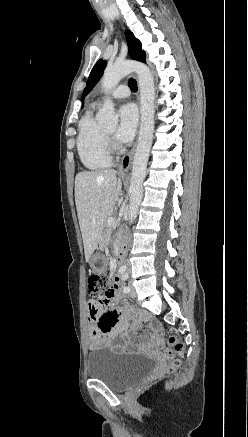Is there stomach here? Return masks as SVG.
Masks as SVG:
<instances>
[{
    "label": "stomach",
    "instance_id": "1",
    "mask_svg": "<svg viewBox=\"0 0 248 437\" xmlns=\"http://www.w3.org/2000/svg\"><path fill=\"white\" fill-rule=\"evenodd\" d=\"M105 258L103 255L97 253L90 258L89 265L92 273H105Z\"/></svg>",
    "mask_w": 248,
    "mask_h": 437
}]
</instances>
